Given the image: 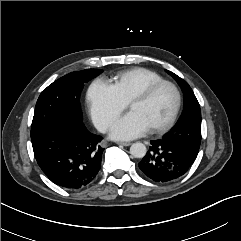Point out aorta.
<instances>
[{
    "label": "aorta",
    "mask_w": 241,
    "mask_h": 241,
    "mask_svg": "<svg viewBox=\"0 0 241 241\" xmlns=\"http://www.w3.org/2000/svg\"><path fill=\"white\" fill-rule=\"evenodd\" d=\"M146 152V146L141 142L133 143L130 147V153L135 158H143Z\"/></svg>",
    "instance_id": "obj_1"
}]
</instances>
